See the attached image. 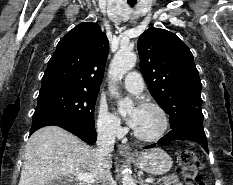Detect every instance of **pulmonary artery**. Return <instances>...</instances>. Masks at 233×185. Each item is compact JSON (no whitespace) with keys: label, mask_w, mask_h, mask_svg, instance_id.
Wrapping results in <instances>:
<instances>
[{"label":"pulmonary artery","mask_w":233,"mask_h":185,"mask_svg":"<svg viewBox=\"0 0 233 185\" xmlns=\"http://www.w3.org/2000/svg\"><path fill=\"white\" fill-rule=\"evenodd\" d=\"M125 88L133 93H140L144 88V80L137 71H130L124 77Z\"/></svg>","instance_id":"obj_1"}]
</instances>
